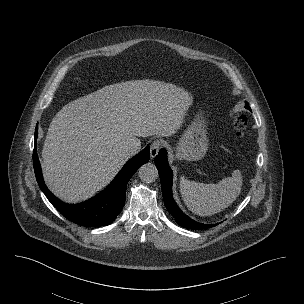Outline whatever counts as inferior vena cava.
Returning <instances> with one entry per match:
<instances>
[{
  "mask_svg": "<svg viewBox=\"0 0 304 304\" xmlns=\"http://www.w3.org/2000/svg\"><path fill=\"white\" fill-rule=\"evenodd\" d=\"M141 148V144L134 140L130 141L126 145V152L129 156L136 154Z\"/></svg>",
  "mask_w": 304,
  "mask_h": 304,
  "instance_id": "602c4592",
  "label": "inferior vena cava"
}]
</instances>
